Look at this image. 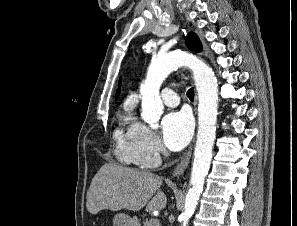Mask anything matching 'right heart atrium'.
<instances>
[{
  "mask_svg": "<svg viewBox=\"0 0 297 226\" xmlns=\"http://www.w3.org/2000/svg\"><path fill=\"white\" fill-rule=\"evenodd\" d=\"M128 139L132 161L140 167L154 168L165 155L158 135L139 121L131 125Z\"/></svg>",
  "mask_w": 297,
  "mask_h": 226,
  "instance_id": "obj_1",
  "label": "right heart atrium"
}]
</instances>
